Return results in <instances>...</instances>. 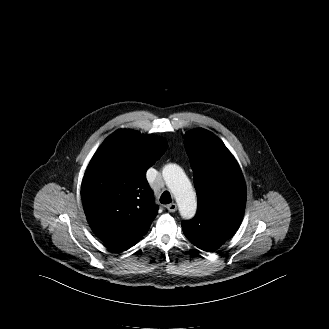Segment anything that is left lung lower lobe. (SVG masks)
<instances>
[{
	"label": "left lung lower lobe",
	"mask_w": 329,
	"mask_h": 329,
	"mask_svg": "<svg viewBox=\"0 0 329 329\" xmlns=\"http://www.w3.org/2000/svg\"><path fill=\"white\" fill-rule=\"evenodd\" d=\"M230 236L223 234L215 240H204L201 242H193L195 246L204 250V251H213L221 246Z\"/></svg>",
	"instance_id": "1"
}]
</instances>
